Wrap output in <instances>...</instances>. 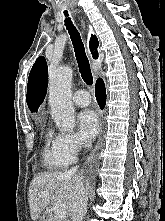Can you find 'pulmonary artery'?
Instances as JSON below:
<instances>
[{
	"instance_id": "pulmonary-artery-1",
	"label": "pulmonary artery",
	"mask_w": 165,
	"mask_h": 221,
	"mask_svg": "<svg viewBox=\"0 0 165 221\" xmlns=\"http://www.w3.org/2000/svg\"><path fill=\"white\" fill-rule=\"evenodd\" d=\"M73 102L79 107H86L90 104L91 98L86 90L80 89L73 94Z\"/></svg>"
}]
</instances>
